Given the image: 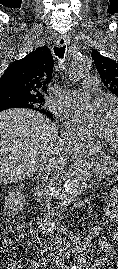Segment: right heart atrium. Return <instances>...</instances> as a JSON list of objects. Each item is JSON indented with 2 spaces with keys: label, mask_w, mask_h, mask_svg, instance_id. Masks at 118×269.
<instances>
[{
  "label": "right heart atrium",
  "mask_w": 118,
  "mask_h": 269,
  "mask_svg": "<svg viewBox=\"0 0 118 269\" xmlns=\"http://www.w3.org/2000/svg\"><path fill=\"white\" fill-rule=\"evenodd\" d=\"M66 136L68 137V139L72 142V143H75V144H78L79 143V139L72 133L70 132H67L66 133Z\"/></svg>",
  "instance_id": "1"
}]
</instances>
